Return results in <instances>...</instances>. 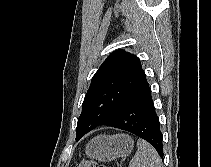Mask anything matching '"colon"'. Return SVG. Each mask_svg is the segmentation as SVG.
<instances>
[{
    "label": "colon",
    "mask_w": 211,
    "mask_h": 167,
    "mask_svg": "<svg viewBox=\"0 0 211 167\" xmlns=\"http://www.w3.org/2000/svg\"><path fill=\"white\" fill-rule=\"evenodd\" d=\"M76 167H106V166L103 164H99L94 160L87 159L81 161L79 164L76 165Z\"/></svg>",
    "instance_id": "5ec220e1"
}]
</instances>
